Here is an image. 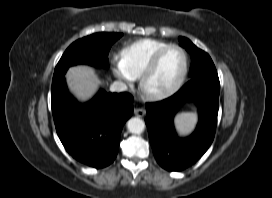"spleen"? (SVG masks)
Masks as SVG:
<instances>
[{
    "instance_id": "3e777b00",
    "label": "spleen",
    "mask_w": 272,
    "mask_h": 198,
    "mask_svg": "<svg viewBox=\"0 0 272 198\" xmlns=\"http://www.w3.org/2000/svg\"><path fill=\"white\" fill-rule=\"evenodd\" d=\"M197 122V115L193 112H183L175 117L174 123L177 130L186 134L192 131Z\"/></svg>"
}]
</instances>
